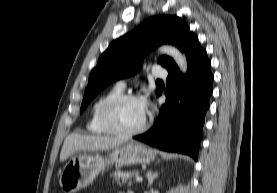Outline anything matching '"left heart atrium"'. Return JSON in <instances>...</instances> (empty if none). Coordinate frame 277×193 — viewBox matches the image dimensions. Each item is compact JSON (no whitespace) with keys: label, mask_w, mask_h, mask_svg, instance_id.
<instances>
[{"label":"left heart atrium","mask_w":277,"mask_h":193,"mask_svg":"<svg viewBox=\"0 0 277 193\" xmlns=\"http://www.w3.org/2000/svg\"><path fill=\"white\" fill-rule=\"evenodd\" d=\"M140 102H141L145 112H148L149 108H150L149 101L147 99H145V98H142V99H140Z\"/></svg>","instance_id":"1"}]
</instances>
